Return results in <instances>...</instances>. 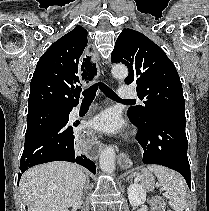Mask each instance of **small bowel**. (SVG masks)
<instances>
[{"mask_svg": "<svg viewBox=\"0 0 209 211\" xmlns=\"http://www.w3.org/2000/svg\"><path fill=\"white\" fill-rule=\"evenodd\" d=\"M162 202L159 199L155 200V211H162Z\"/></svg>", "mask_w": 209, "mask_h": 211, "instance_id": "small-bowel-1", "label": "small bowel"}]
</instances>
